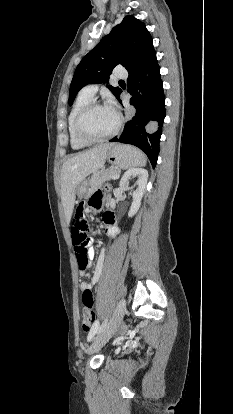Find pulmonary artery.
Segmentation results:
<instances>
[{"mask_svg":"<svg viewBox=\"0 0 233 414\" xmlns=\"http://www.w3.org/2000/svg\"><path fill=\"white\" fill-rule=\"evenodd\" d=\"M127 75H128L127 71L123 68H117L114 71V77L115 78L123 79V78H126ZM96 91H97V85H94V84L87 85L82 89V92L84 94H86V95H88L92 98L94 97Z\"/></svg>","mask_w":233,"mask_h":414,"instance_id":"obj_1","label":"pulmonary artery"}]
</instances>
